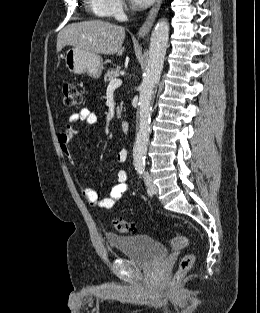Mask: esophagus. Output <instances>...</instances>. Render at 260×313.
<instances>
[{"label":"esophagus","instance_id":"34e87169","mask_svg":"<svg viewBox=\"0 0 260 313\" xmlns=\"http://www.w3.org/2000/svg\"><path fill=\"white\" fill-rule=\"evenodd\" d=\"M161 4H162V0H157L156 3L154 4V6L151 8V10L149 11V13L147 15L145 22L143 23V25L141 26V28L138 31L139 37H144L150 31V29L154 23V20L156 18V15L160 9Z\"/></svg>","mask_w":260,"mask_h":313}]
</instances>
